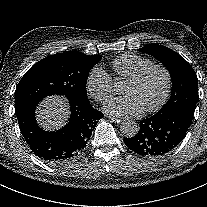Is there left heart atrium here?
<instances>
[{
  "label": "left heart atrium",
  "instance_id": "obj_1",
  "mask_svg": "<svg viewBox=\"0 0 207 207\" xmlns=\"http://www.w3.org/2000/svg\"><path fill=\"white\" fill-rule=\"evenodd\" d=\"M105 110L119 117H135L142 113L136 101L130 96L114 98L106 102Z\"/></svg>",
  "mask_w": 207,
  "mask_h": 207
}]
</instances>
